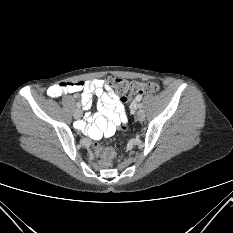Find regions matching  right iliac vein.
<instances>
[{
    "mask_svg": "<svg viewBox=\"0 0 233 233\" xmlns=\"http://www.w3.org/2000/svg\"><path fill=\"white\" fill-rule=\"evenodd\" d=\"M82 110L81 109H76L75 111H74V118H76V119H79V118H81V116H82Z\"/></svg>",
    "mask_w": 233,
    "mask_h": 233,
    "instance_id": "obj_1",
    "label": "right iliac vein"
}]
</instances>
